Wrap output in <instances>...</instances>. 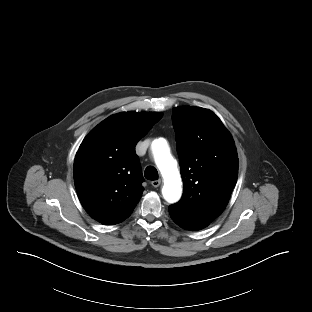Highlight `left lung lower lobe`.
Instances as JSON below:
<instances>
[{
  "instance_id": "left-lung-lower-lobe-1",
  "label": "left lung lower lobe",
  "mask_w": 312,
  "mask_h": 312,
  "mask_svg": "<svg viewBox=\"0 0 312 312\" xmlns=\"http://www.w3.org/2000/svg\"><path fill=\"white\" fill-rule=\"evenodd\" d=\"M169 214L172 218V220L179 225L182 228L189 229V230H198L205 228L209 225V223L196 220L194 218H191L189 216H186L180 212H178L176 209L169 207Z\"/></svg>"
}]
</instances>
